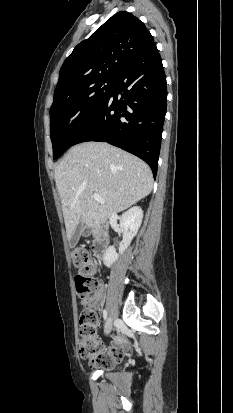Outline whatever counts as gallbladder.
Masks as SVG:
<instances>
[{
	"label": "gallbladder",
	"mask_w": 233,
	"mask_h": 413,
	"mask_svg": "<svg viewBox=\"0 0 233 413\" xmlns=\"http://www.w3.org/2000/svg\"><path fill=\"white\" fill-rule=\"evenodd\" d=\"M83 233H84V231L82 230L81 226L80 225L77 226V228L73 232L72 237L69 241L70 247L74 248L77 245V243H78V241H79V239H80V237Z\"/></svg>",
	"instance_id": "gallbladder-1"
}]
</instances>
